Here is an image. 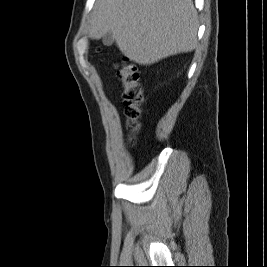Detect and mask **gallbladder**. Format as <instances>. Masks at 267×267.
I'll use <instances>...</instances> for the list:
<instances>
[{
  "label": "gallbladder",
  "mask_w": 267,
  "mask_h": 267,
  "mask_svg": "<svg viewBox=\"0 0 267 267\" xmlns=\"http://www.w3.org/2000/svg\"><path fill=\"white\" fill-rule=\"evenodd\" d=\"M103 44L105 46H111L114 43V38L112 33H107L102 38Z\"/></svg>",
  "instance_id": "bac80fb5"
}]
</instances>
